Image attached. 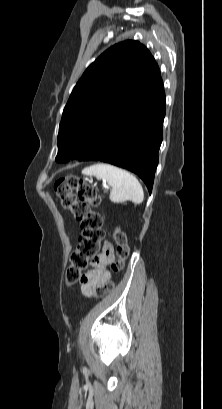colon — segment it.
I'll list each match as a JSON object with an SVG mask.
<instances>
[{
  "label": "colon",
  "instance_id": "5ec220e1",
  "mask_svg": "<svg viewBox=\"0 0 222 409\" xmlns=\"http://www.w3.org/2000/svg\"><path fill=\"white\" fill-rule=\"evenodd\" d=\"M54 191L63 208L81 222L79 243L70 256V264L65 273L66 282L75 284L81 280L82 272L89 266L91 257L100 256L98 252L104 237L103 216L94 208L99 206L101 198L89 182L75 174L59 178L54 184ZM113 240L117 258L110 261L109 265L114 273H119L129 256V246L124 232L119 228L114 230ZM113 288L114 282L108 281L93 296L102 297Z\"/></svg>",
  "mask_w": 222,
  "mask_h": 409
}]
</instances>
